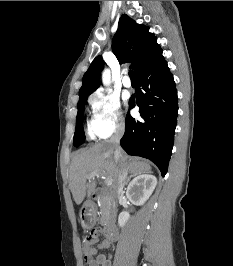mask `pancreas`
Segmentation results:
<instances>
[{
	"instance_id": "obj_1",
	"label": "pancreas",
	"mask_w": 233,
	"mask_h": 266,
	"mask_svg": "<svg viewBox=\"0 0 233 266\" xmlns=\"http://www.w3.org/2000/svg\"><path fill=\"white\" fill-rule=\"evenodd\" d=\"M99 206H100V213H101V221H103L105 216L107 215L110 205L106 199H101L99 202Z\"/></svg>"
}]
</instances>
